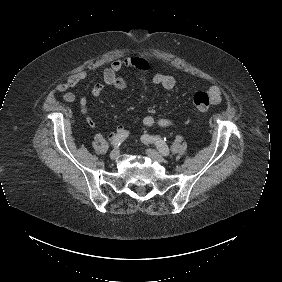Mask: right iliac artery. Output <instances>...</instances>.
<instances>
[{"mask_svg":"<svg viewBox=\"0 0 282 282\" xmlns=\"http://www.w3.org/2000/svg\"><path fill=\"white\" fill-rule=\"evenodd\" d=\"M129 135V132L128 131H123L117 135H115L113 138H112V145L115 147V148H118L121 143L128 137Z\"/></svg>","mask_w":282,"mask_h":282,"instance_id":"right-iliac-artery-1","label":"right iliac artery"}]
</instances>
